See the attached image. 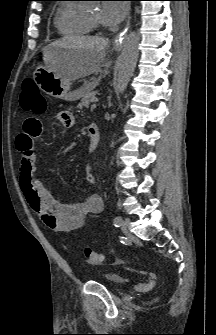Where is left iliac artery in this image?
<instances>
[{"label":"left iliac artery","mask_w":216,"mask_h":335,"mask_svg":"<svg viewBox=\"0 0 216 335\" xmlns=\"http://www.w3.org/2000/svg\"><path fill=\"white\" fill-rule=\"evenodd\" d=\"M122 222V218L120 216L115 217L114 219V226L119 227Z\"/></svg>","instance_id":"1"}]
</instances>
